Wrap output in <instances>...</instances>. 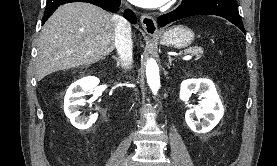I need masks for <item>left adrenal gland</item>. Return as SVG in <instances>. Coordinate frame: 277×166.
<instances>
[{
    "instance_id": "1",
    "label": "left adrenal gland",
    "mask_w": 277,
    "mask_h": 166,
    "mask_svg": "<svg viewBox=\"0 0 277 166\" xmlns=\"http://www.w3.org/2000/svg\"><path fill=\"white\" fill-rule=\"evenodd\" d=\"M168 59H169L168 67H170L172 65L173 58L170 55H168Z\"/></svg>"
}]
</instances>
